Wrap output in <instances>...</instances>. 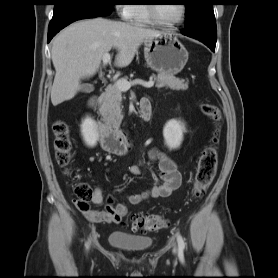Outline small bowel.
<instances>
[{"label": "small bowel", "instance_id": "obj_1", "mask_svg": "<svg viewBox=\"0 0 278 278\" xmlns=\"http://www.w3.org/2000/svg\"><path fill=\"white\" fill-rule=\"evenodd\" d=\"M151 159L156 163L158 174H154L155 183L153 186L139 194L128 196L129 203L137 205L151 199L168 197L176 191L181 183L182 176L179 172L176 163L167 155L158 150H152L150 153ZM142 167H148L145 162H140L138 165L130 167L129 171L133 175H140ZM92 202L95 205L103 204V192L100 187H95ZM79 211L93 223H109L118 224L123 217L128 213V207L124 202L116 201L114 195H110L103 210H93L89 204L75 203Z\"/></svg>", "mask_w": 278, "mask_h": 278}]
</instances>
